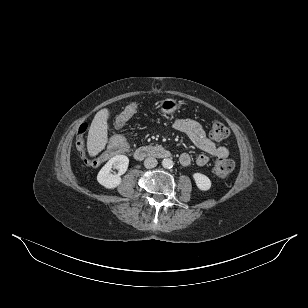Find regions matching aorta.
<instances>
[{
	"instance_id": "obj_1",
	"label": "aorta",
	"mask_w": 308,
	"mask_h": 308,
	"mask_svg": "<svg viewBox=\"0 0 308 308\" xmlns=\"http://www.w3.org/2000/svg\"><path fill=\"white\" fill-rule=\"evenodd\" d=\"M173 164H174L173 161L169 158L163 159V161H162V166L166 169L172 168Z\"/></svg>"
}]
</instances>
